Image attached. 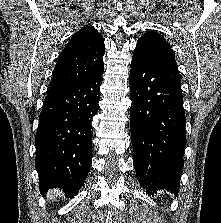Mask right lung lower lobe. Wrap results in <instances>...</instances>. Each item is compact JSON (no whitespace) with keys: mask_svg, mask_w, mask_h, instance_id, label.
Returning <instances> with one entry per match:
<instances>
[{"mask_svg":"<svg viewBox=\"0 0 221 223\" xmlns=\"http://www.w3.org/2000/svg\"><path fill=\"white\" fill-rule=\"evenodd\" d=\"M104 70L72 87L48 93L35 137V166L42 192L78 193L92 163L90 122L98 111Z\"/></svg>","mask_w":221,"mask_h":223,"instance_id":"obj_1","label":"right lung lower lobe"}]
</instances>
